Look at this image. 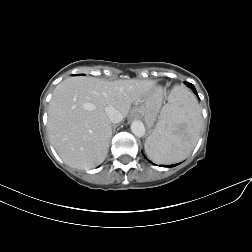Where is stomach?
<instances>
[{"instance_id": "stomach-1", "label": "stomach", "mask_w": 252, "mask_h": 252, "mask_svg": "<svg viewBox=\"0 0 252 252\" xmlns=\"http://www.w3.org/2000/svg\"><path fill=\"white\" fill-rule=\"evenodd\" d=\"M161 104L160 98L156 95V92L150 93L142 102H140L134 108V111L144 117L146 123L152 126L159 111V105ZM161 116V113H160Z\"/></svg>"}]
</instances>
